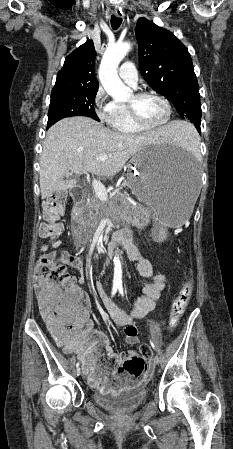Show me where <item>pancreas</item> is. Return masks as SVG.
Here are the masks:
<instances>
[{
  "instance_id": "1",
  "label": "pancreas",
  "mask_w": 233,
  "mask_h": 449,
  "mask_svg": "<svg viewBox=\"0 0 233 449\" xmlns=\"http://www.w3.org/2000/svg\"><path fill=\"white\" fill-rule=\"evenodd\" d=\"M126 208V209H124ZM85 209L90 212L89 222L94 228L103 216H121L122 210H127L126 218L136 227L142 228L150 223L152 217L151 210L143 206H132L124 196L114 195L108 202H102L96 194L89 196Z\"/></svg>"
}]
</instances>
